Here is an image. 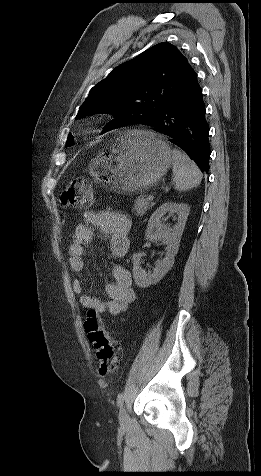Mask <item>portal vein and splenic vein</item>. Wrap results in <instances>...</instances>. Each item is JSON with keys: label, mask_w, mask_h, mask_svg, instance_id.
Here are the masks:
<instances>
[{"label": "portal vein and splenic vein", "mask_w": 261, "mask_h": 476, "mask_svg": "<svg viewBox=\"0 0 261 476\" xmlns=\"http://www.w3.org/2000/svg\"><path fill=\"white\" fill-rule=\"evenodd\" d=\"M147 199H148L149 201H153L154 195H153V194H150V195L147 197Z\"/></svg>", "instance_id": "1"}]
</instances>
